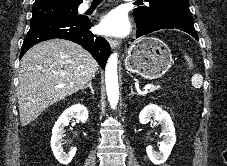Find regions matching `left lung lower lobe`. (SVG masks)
I'll use <instances>...</instances> for the list:
<instances>
[{
  "label": "left lung lower lobe",
  "instance_id": "left-lung-lower-lobe-1",
  "mask_svg": "<svg viewBox=\"0 0 227 166\" xmlns=\"http://www.w3.org/2000/svg\"><path fill=\"white\" fill-rule=\"evenodd\" d=\"M135 21L137 24L136 38L162 29H178L190 34L197 41L199 40L194 28L191 12L188 8L161 12L148 23Z\"/></svg>",
  "mask_w": 227,
  "mask_h": 166
}]
</instances>
